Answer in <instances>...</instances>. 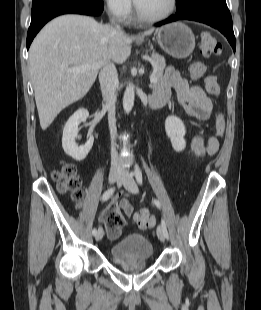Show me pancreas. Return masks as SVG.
<instances>
[{
	"label": "pancreas",
	"instance_id": "1",
	"mask_svg": "<svg viewBox=\"0 0 261 310\" xmlns=\"http://www.w3.org/2000/svg\"><path fill=\"white\" fill-rule=\"evenodd\" d=\"M150 62H151L153 69H154L153 75L157 78V83L152 84V88L155 89L159 85L165 83V78L163 75V71L165 69V60L158 55H154L150 59Z\"/></svg>",
	"mask_w": 261,
	"mask_h": 310
}]
</instances>
